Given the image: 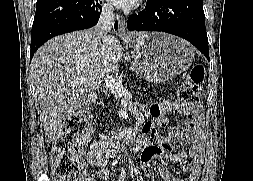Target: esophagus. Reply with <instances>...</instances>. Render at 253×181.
Segmentation results:
<instances>
[{
	"label": "esophagus",
	"instance_id": "esophagus-1",
	"mask_svg": "<svg viewBox=\"0 0 253 181\" xmlns=\"http://www.w3.org/2000/svg\"><path fill=\"white\" fill-rule=\"evenodd\" d=\"M119 36L122 38H126L128 36L127 30H126V22L123 17H119Z\"/></svg>",
	"mask_w": 253,
	"mask_h": 181
}]
</instances>
